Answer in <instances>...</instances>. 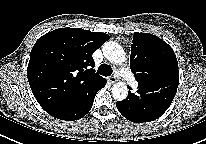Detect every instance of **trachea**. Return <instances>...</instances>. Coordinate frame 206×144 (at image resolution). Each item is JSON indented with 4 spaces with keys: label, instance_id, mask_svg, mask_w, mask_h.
Here are the masks:
<instances>
[{
    "label": "trachea",
    "instance_id": "trachea-1",
    "mask_svg": "<svg viewBox=\"0 0 206 144\" xmlns=\"http://www.w3.org/2000/svg\"><path fill=\"white\" fill-rule=\"evenodd\" d=\"M100 75H103V76H111L112 75V68L107 65V64H101L98 68V71H97Z\"/></svg>",
    "mask_w": 206,
    "mask_h": 144
}]
</instances>
